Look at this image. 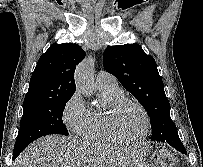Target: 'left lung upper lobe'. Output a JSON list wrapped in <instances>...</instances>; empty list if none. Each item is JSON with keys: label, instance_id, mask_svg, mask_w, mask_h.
<instances>
[{"label": "left lung upper lobe", "instance_id": "left-lung-upper-lobe-1", "mask_svg": "<svg viewBox=\"0 0 203 167\" xmlns=\"http://www.w3.org/2000/svg\"><path fill=\"white\" fill-rule=\"evenodd\" d=\"M103 65L147 111L151 120L152 140L163 141L169 136H178L170 117L164 84L152 56L147 55L139 44L109 46L103 55Z\"/></svg>", "mask_w": 203, "mask_h": 167}]
</instances>
